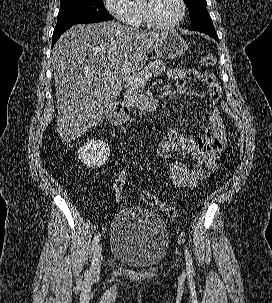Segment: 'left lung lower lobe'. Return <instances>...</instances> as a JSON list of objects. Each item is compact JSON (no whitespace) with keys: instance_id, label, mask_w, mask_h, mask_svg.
<instances>
[{"instance_id":"left-lung-lower-lobe-1","label":"left lung lower lobe","mask_w":272,"mask_h":303,"mask_svg":"<svg viewBox=\"0 0 272 303\" xmlns=\"http://www.w3.org/2000/svg\"><path fill=\"white\" fill-rule=\"evenodd\" d=\"M203 33L213 37L218 43H219V39H218V36L216 34V31L215 30H209V31H202Z\"/></svg>"}]
</instances>
